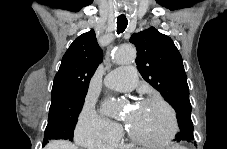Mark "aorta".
<instances>
[{"instance_id":"1","label":"aorta","mask_w":227,"mask_h":149,"mask_svg":"<svg viewBox=\"0 0 227 149\" xmlns=\"http://www.w3.org/2000/svg\"><path fill=\"white\" fill-rule=\"evenodd\" d=\"M136 51L131 46L119 47L114 54L115 61L119 64H129L134 61ZM102 112L108 116H113L117 113V103L113 98L108 99L102 109Z\"/></svg>"}]
</instances>
